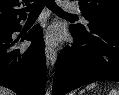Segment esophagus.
I'll return each mask as SVG.
<instances>
[{
    "instance_id": "esophagus-1",
    "label": "esophagus",
    "mask_w": 119,
    "mask_h": 95,
    "mask_svg": "<svg viewBox=\"0 0 119 95\" xmlns=\"http://www.w3.org/2000/svg\"><path fill=\"white\" fill-rule=\"evenodd\" d=\"M45 54L47 63L53 66L57 59V51L51 45L46 44Z\"/></svg>"
}]
</instances>
